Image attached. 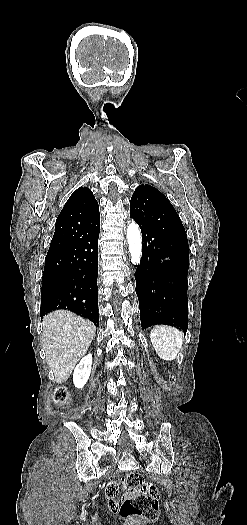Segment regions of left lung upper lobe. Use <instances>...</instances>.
<instances>
[{"label": "left lung upper lobe", "mask_w": 247, "mask_h": 525, "mask_svg": "<svg viewBox=\"0 0 247 525\" xmlns=\"http://www.w3.org/2000/svg\"><path fill=\"white\" fill-rule=\"evenodd\" d=\"M130 217L138 224L156 227L189 249L182 222L169 200L156 188L139 185L130 200Z\"/></svg>", "instance_id": "obj_1"}]
</instances>
